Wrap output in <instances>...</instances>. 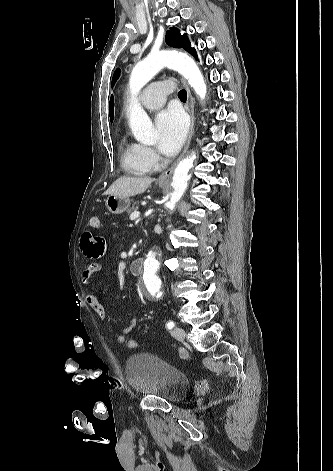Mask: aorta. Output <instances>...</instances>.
Here are the masks:
<instances>
[{
  "label": "aorta",
  "instance_id": "1",
  "mask_svg": "<svg viewBox=\"0 0 333 471\" xmlns=\"http://www.w3.org/2000/svg\"><path fill=\"white\" fill-rule=\"evenodd\" d=\"M164 67L172 68L183 75L201 99H204L206 96L207 87L204 77L192 58L169 51L150 54L145 60L138 63L133 68L129 79L131 92L129 126L135 139L141 143H154L157 139V134L150 118L138 104L136 96ZM195 158L196 154L192 152L177 165L172 181L173 192L171 193L170 200L166 203L168 209L173 210L184 194L190 179L189 171L193 167ZM159 266V254L156 251H150L144 261L142 272L144 291L149 296H159L163 294L161 291V281L157 275Z\"/></svg>",
  "mask_w": 333,
  "mask_h": 471
}]
</instances>
